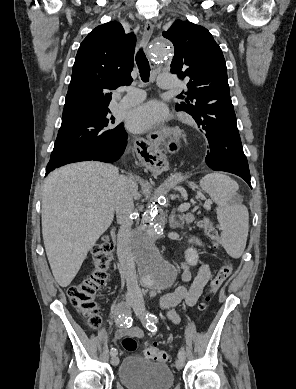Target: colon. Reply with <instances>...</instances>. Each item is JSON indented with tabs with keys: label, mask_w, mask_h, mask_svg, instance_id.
Segmentation results:
<instances>
[{
	"label": "colon",
	"mask_w": 296,
	"mask_h": 389,
	"mask_svg": "<svg viewBox=\"0 0 296 389\" xmlns=\"http://www.w3.org/2000/svg\"><path fill=\"white\" fill-rule=\"evenodd\" d=\"M200 226L205 230L207 237L219 245V235L211 221L204 217L200 221ZM113 246L109 239L105 236L97 242L92 248L93 269L80 282L71 285L68 288L67 294L71 304L83 315L90 327H97L101 318L99 309L96 303L97 292L105 285L108 276L109 268L112 261ZM231 263L224 264L220 267L215 277L210 282V294L205 301L200 305L201 310H205L211 302L213 296L219 291L226 280L233 272ZM123 348L128 352H133L137 349L136 340L127 336L122 341ZM147 358L161 363H168L170 355L164 350H160L155 346H149L145 350Z\"/></svg>",
	"instance_id": "5ec220e1"
}]
</instances>
